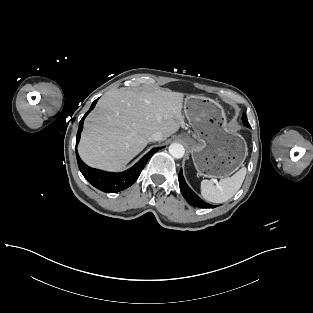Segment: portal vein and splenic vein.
<instances>
[{
	"mask_svg": "<svg viewBox=\"0 0 313 313\" xmlns=\"http://www.w3.org/2000/svg\"><path fill=\"white\" fill-rule=\"evenodd\" d=\"M214 182H215L216 184H218V181H217L216 179H214Z\"/></svg>",
	"mask_w": 313,
	"mask_h": 313,
	"instance_id": "portal-vein-and-splenic-vein-1",
	"label": "portal vein and splenic vein"
}]
</instances>
